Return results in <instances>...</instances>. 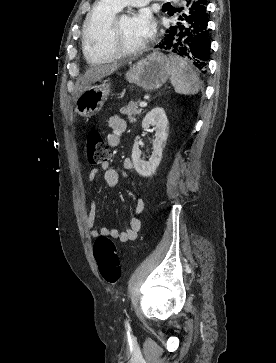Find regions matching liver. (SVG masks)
<instances>
[{"label": "liver", "mask_w": 276, "mask_h": 363, "mask_svg": "<svg viewBox=\"0 0 276 363\" xmlns=\"http://www.w3.org/2000/svg\"><path fill=\"white\" fill-rule=\"evenodd\" d=\"M122 64H106V65H98L89 68L83 78L81 79V85L78 88L79 93L77 97L85 90H87L93 83L101 80L102 78L113 74L115 71L119 69Z\"/></svg>", "instance_id": "obj_1"}]
</instances>
